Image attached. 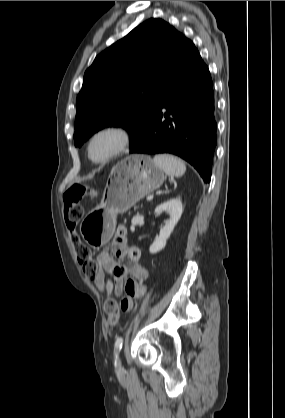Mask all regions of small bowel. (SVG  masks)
I'll use <instances>...</instances> for the list:
<instances>
[{"mask_svg": "<svg viewBox=\"0 0 285 418\" xmlns=\"http://www.w3.org/2000/svg\"><path fill=\"white\" fill-rule=\"evenodd\" d=\"M111 248L116 251L118 259L128 258L134 263L133 268L121 266L108 251L101 252L97 256L99 265L98 276L94 279L95 284L105 293L108 298L124 294L121 300V308L129 311L135 298L143 297L147 291L144 281L148 278L147 267L140 263L141 252L138 248L127 246V239L124 232L118 231ZM130 273V278H125ZM108 274L111 279H105Z\"/></svg>", "mask_w": 285, "mask_h": 418, "instance_id": "obj_1", "label": "small bowel"}]
</instances>
